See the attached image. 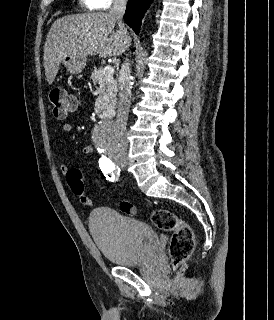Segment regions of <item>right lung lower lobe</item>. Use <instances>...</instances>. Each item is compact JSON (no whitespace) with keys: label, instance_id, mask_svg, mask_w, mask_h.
Listing matches in <instances>:
<instances>
[{"label":"right lung lower lobe","instance_id":"98d812e1","mask_svg":"<svg viewBox=\"0 0 274 320\" xmlns=\"http://www.w3.org/2000/svg\"><path fill=\"white\" fill-rule=\"evenodd\" d=\"M152 0H128L124 21L139 34L141 21Z\"/></svg>","mask_w":274,"mask_h":320}]
</instances>
